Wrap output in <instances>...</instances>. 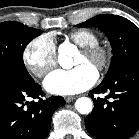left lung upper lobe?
Wrapping results in <instances>:
<instances>
[{
    "label": "left lung upper lobe",
    "mask_w": 139,
    "mask_h": 139,
    "mask_svg": "<svg viewBox=\"0 0 139 139\" xmlns=\"http://www.w3.org/2000/svg\"><path fill=\"white\" fill-rule=\"evenodd\" d=\"M77 27H97L111 42L113 57L102 83L110 81L128 64L139 60V28L128 19L102 14L78 24Z\"/></svg>",
    "instance_id": "1"
}]
</instances>
